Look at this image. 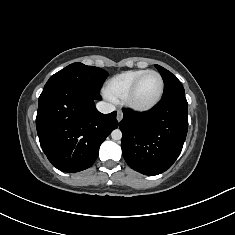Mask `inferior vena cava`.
<instances>
[{"label":"inferior vena cava","instance_id":"602c4592","mask_svg":"<svg viewBox=\"0 0 235 235\" xmlns=\"http://www.w3.org/2000/svg\"><path fill=\"white\" fill-rule=\"evenodd\" d=\"M96 108L99 112L103 113V114H108L111 113L115 110V106L104 102V101H100L96 104Z\"/></svg>","mask_w":235,"mask_h":235}]
</instances>
